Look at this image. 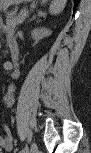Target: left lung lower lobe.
<instances>
[{
  "label": "left lung lower lobe",
  "mask_w": 91,
  "mask_h": 153,
  "mask_svg": "<svg viewBox=\"0 0 91 153\" xmlns=\"http://www.w3.org/2000/svg\"><path fill=\"white\" fill-rule=\"evenodd\" d=\"M79 0H74V3H75V6L74 8L76 7V5L78 4Z\"/></svg>",
  "instance_id": "0a47b994"
}]
</instances>
